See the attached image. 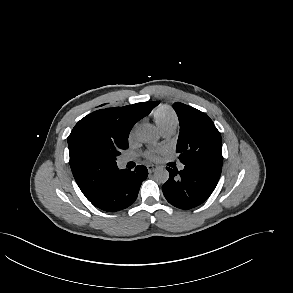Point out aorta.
Segmentation results:
<instances>
[{"instance_id": "762f6f07", "label": "aorta", "mask_w": 293, "mask_h": 293, "mask_svg": "<svg viewBox=\"0 0 293 293\" xmlns=\"http://www.w3.org/2000/svg\"><path fill=\"white\" fill-rule=\"evenodd\" d=\"M137 139L143 143H155L159 139L158 132L150 125H144L136 133ZM154 179L158 183H165L169 179V172L165 168H158L154 173Z\"/></svg>"}]
</instances>
